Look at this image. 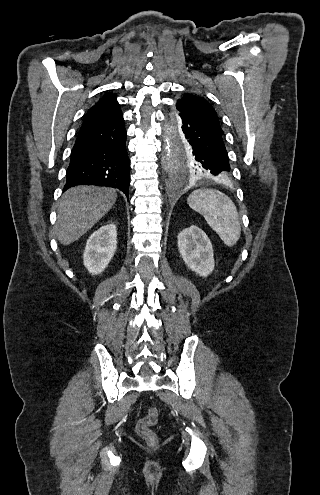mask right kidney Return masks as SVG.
I'll return each mask as SVG.
<instances>
[{"label":"right kidney","mask_w":320,"mask_h":495,"mask_svg":"<svg viewBox=\"0 0 320 495\" xmlns=\"http://www.w3.org/2000/svg\"><path fill=\"white\" fill-rule=\"evenodd\" d=\"M117 248L116 225H104L87 240L83 262L89 273L98 275L104 272Z\"/></svg>","instance_id":"obj_1"}]
</instances>
